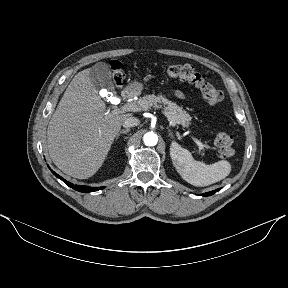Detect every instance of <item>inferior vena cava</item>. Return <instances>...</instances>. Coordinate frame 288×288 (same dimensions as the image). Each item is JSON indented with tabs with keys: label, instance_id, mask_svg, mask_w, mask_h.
Returning a JSON list of instances; mask_svg holds the SVG:
<instances>
[{
	"label": "inferior vena cava",
	"instance_id": "inferior-vena-cava-1",
	"mask_svg": "<svg viewBox=\"0 0 288 288\" xmlns=\"http://www.w3.org/2000/svg\"><path fill=\"white\" fill-rule=\"evenodd\" d=\"M140 120L136 117H128L124 122H123V127L129 128V127H134L139 125Z\"/></svg>",
	"mask_w": 288,
	"mask_h": 288
}]
</instances>
